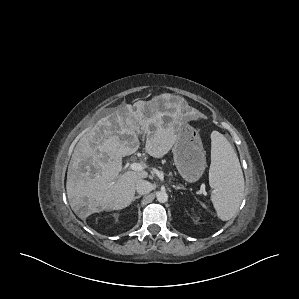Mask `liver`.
<instances>
[{
  "label": "liver",
  "instance_id": "1",
  "mask_svg": "<svg viewBox=\"0 0 299 299\" xmlns=\"http://www.w3.org/2000/svg\"><path fill=\"white\" fill-rule=\"evenodd\" d=\"M136 110L122 104L101 118L85 133L72 154L66 190L74 213L86 219L103 210H120L131 204L136 183L148 177L146 171H122V158L139 148V135L146 134L145 150L162 158L173 147L175 126L165 124L158 102H137ZM169 104H165V109Z\"/></svg>",
  "mask_w": 299,
  "mask_h": 299
}]
</instances>
